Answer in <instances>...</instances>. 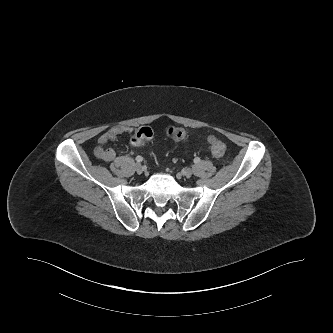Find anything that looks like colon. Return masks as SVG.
Listing matches in <instances>:
<instances>
[{"label":"colon","instance_id":"colon-1","mask_svg":"<svg viewBox=\"0 0 333 333\" xmlns=\"http://www.w3.org/2000/svg\"><path fill=\"white\" fill-rule=\"evenodd\" d=\"M155 132L151 127L143 126L139 128L132 136L131 140L135 144H139L151 139ZM168 135L177 140H181L185 137V133L179 128H170ZM209 146L211 153L216 158H223L226 154L225 144L218 138L211 136L209 138Z\"/></svg>","mask_w":333,"mask_h":333}]
</instances>
